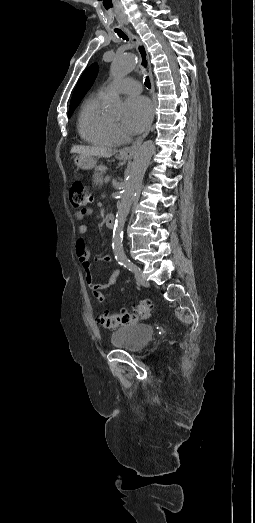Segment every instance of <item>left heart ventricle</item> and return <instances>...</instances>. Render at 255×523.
<instances>
[{"label":"left heart ventricle","instance_id":"left-heart-ventricle-1","mask_svg":"<svg viewBox=\"0 0 255 523\" xmlns=\"http://www.w3.org/2000/svg\"><path fill=\"white\" fill-rule=\"evenodd\" d=\"M112 119L118 121L120 123V116L112 117ZM121 124V123H120ZM122 125V124H121ZM123 127V126H122Z\"/></svg>","mask_w":255,"mask_h":523}]
</instances>
